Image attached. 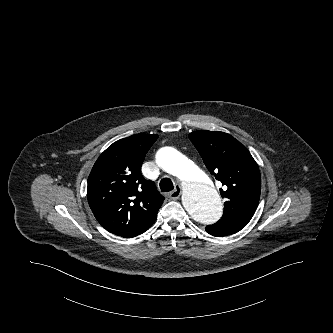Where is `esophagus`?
<instances>
[{"label":"esophagus","instance_id":"esophagus-1","mask_svg":"<svg viewBox=\"0 0 333 333\" xmlns=\"http://www.w3.org/2000/svg\"><path fill=\"white\" fill-rule=\"evenodd\" d=\"M181 191V186L177 185L173 191L168 193V197L173 200L178 199L181 195Z\"/></svg>","mask_w":333,"mask_h":333}]
</instances>
